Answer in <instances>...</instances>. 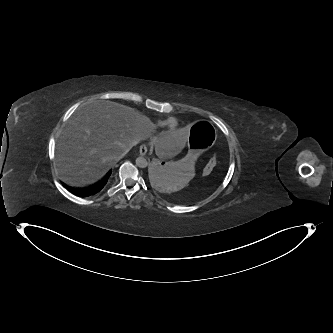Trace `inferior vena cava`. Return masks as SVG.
<instances>
[{"label":"inferior vena cava","mask_w":333,"mask_h":333,"mask_svg":"<svg viewBox=\"0 0 333 333\" xmlns=\"http://www.w3.org/2000/svg\"><path fill=\"white\" fill-rule=\"evenodd\" d=\"M128 152H129V150H126L125 152H123V154L120 158L124 157Z\"/></svg>","instance_id":"602c4592"}]
</instances>
